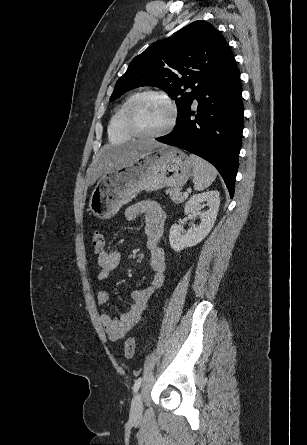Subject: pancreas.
I'll use <instances>...</instances> for the list:
<instances>
[{
  "label": "pancreas",
  "mask_w": 307,
  "mask_h": 445,
  "mask_svg": "<svg viewBox=\"0 0 307 445\" xmlns=\"http://www.w3.org/2000/svg\"><path fill=\"white\" fill-rule=\"evenodd\" d=\"M166 194H168L171 200H173V202H176V204H179V202H184L186 198V196H182L180 186H178V188H167Z\"/></svg>",
  "instance_id": "obj_1"
}]
</instances>
